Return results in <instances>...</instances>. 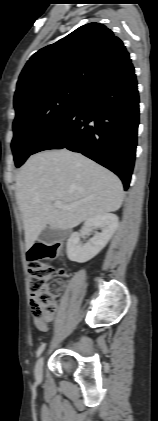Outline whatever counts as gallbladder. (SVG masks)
Returning <instances> with one entry per match:
<instances>
[{"label":"gallbladder","mask_w":158,"mask_h":421,"mask_svg":"<svg viewBox=\"0 0 158 421\" xmlns=\"http://www.w3.org/2000/svg\"><path fill=\"white\" fill-rule=\"evenodd\" d=\"M67 235L66 230L51 228L50 226L45 227L38 236V241L51 245L57 242H61Z\"/></svg>","instance_id":"obj_1"}]
</instances>
